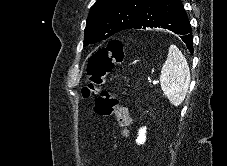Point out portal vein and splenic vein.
<instances>
[{
    "label": "portal vein and splenic vein",
    "mask_w": 227,
    "mask_h": 166,
    "mask_svg": "<svg viewBox=\"0 0 227 166\" xmlns=\"http://www.w3.org/2000/svg\"><path fill=\"white\" fill-rule=\"evenodd\" d=\"M157 83H158V81H156V80H155V81H153V84H154V85H156Z\"/></svg>",
    "instance_id": "portal-vein-and-splenic-vein-1"
}]
</instances>
